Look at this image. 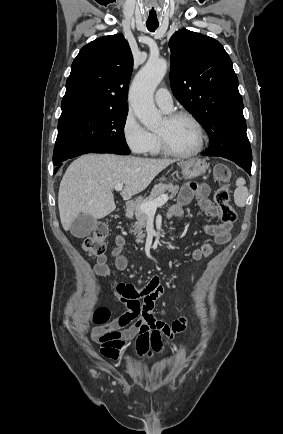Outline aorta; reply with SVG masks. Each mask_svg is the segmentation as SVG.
I'll return each mask as SVG.
<instances>
[{
    "mask_svg": "<svg viewBox=\"0 0 283 434\" xmlns=\"http://www.w3.org/2000/svg\"><path fill=\"white\" fill-rule=\"evenodd\" d=\"M166 71L165 59L150 58L134 78L129 91V101L135 115L149 130L156 129L162 120L161 112L155 107L153 95Z\"/></svg>",
    "mask_w": 283,
    "mask_h": 434,
    "instance_id": "1",
    "label": "aorta"
}]
</instances>
